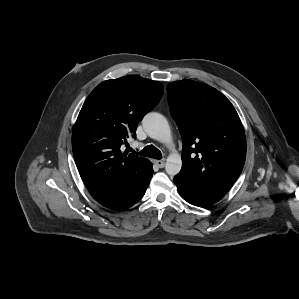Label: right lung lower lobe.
I'll return each instance as SVG.
<instances>
[{
    "label": "right lung lower lobe",
    "mask_w": 299,
    "mask_h": 299,
    "mask_svg": "<svg viewBox=\"0 0 299 299\" xmlns=\"http://www.w3.org/2000/svg\"><path fill=\"white\" fill-rule=\"evenodd\" d=\"M152 175L153 168L151 164L148 174L141 182L129 181L114 188L104 190L89 189V191L92 197L101 205L113 210H124L133 206L143 197Z\"/></svg>",
    "instance_id": "98d812e1"
}]
</instances>
